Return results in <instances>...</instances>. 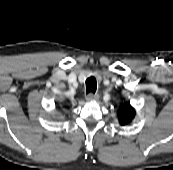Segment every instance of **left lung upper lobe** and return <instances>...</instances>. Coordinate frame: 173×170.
<instances>
[{
  "mask_svg": "<svg viewBox=\"0 0 173 170\" xmlns=\"http://www.w3.org/2000/svg\"><path fill=\"white\" fill-rule=\"evenodd\" d=\"M135 116V110L129 102L121 103L118 109V117L121 125L129 124Z\"/></svg>",
  "mask_w": 173,
  "mask_h": 170,
  "instance_id": "left-lung-upper-lobe-1",
  "label": "left lung upper lobe"
}]
</instances>
